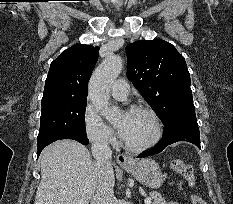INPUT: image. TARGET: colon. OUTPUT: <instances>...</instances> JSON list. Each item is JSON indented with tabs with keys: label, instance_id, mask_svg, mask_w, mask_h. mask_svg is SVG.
<instances>
[{
	"label": "colon",
	"instance_id": "obj_1",
	"mask_svg": "<svg viewBox=\"0 0 233 204\" xmlns=\"http://www.w3.org/2000/svg\"><path fill=\"white\" fill-rule=\"evenodd\" d=\"M170 168L172 169V171L183 176L186 179V181L189 183V185L191 186L195 185L194 170L191 165L185 163L182 160L175 159L171 161ZM191 201L192 204H206L205 201L198 195H192Z\"/></svg>",
	"mask_w": 233,
	"mask_h": 204
}]
</instances>
